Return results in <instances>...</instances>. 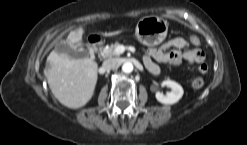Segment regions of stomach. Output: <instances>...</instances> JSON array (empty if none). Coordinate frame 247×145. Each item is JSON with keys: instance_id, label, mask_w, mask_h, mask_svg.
I'll return each mask as SVG.
<instances>
[{"instance_id": "0dacf381", "label": "stomach", "mask_w": 247, "mask_h": 145, "mask_svg": "<svg viewBox=\"0 0 247 145\" xmlns=\"http://www.w3.org/2000/svg\"><path fill=\"white\" fill-rule=\"evenodd\" d=\"M168 23L163 18L149 16L140 19L136 25L137 39L146 46L160 44L167 36Z\"/></svg>"}]
</instances>
